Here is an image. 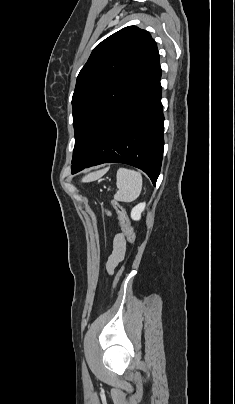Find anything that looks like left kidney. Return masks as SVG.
Listing matches in <instances>:
<instances>
[{
	"mask_svg": "<svg viewBox=\"0 0 235 404\" xmlns=\"http://www.w3.org/2000/svg\"><path fill=\"white\" fill-rule=\"evenodd\" d=\"M144 209H145V203H140L136 205L131 211V218L135 221L140 220L141 213L144 211Z\"/></svg>",
	"mask_w": 235,
	"mask_h": 404,
	"instance_id": "obj_1",
	"label": "left kidney"
}]
</instances>
